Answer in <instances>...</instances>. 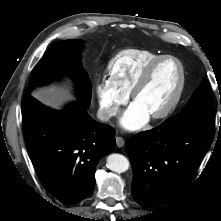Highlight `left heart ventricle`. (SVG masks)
I'll return each instance as SVG.
<instances>
[{
    "label": "left heart ventricle",
    "instance_id": "1",
    "mask_svg": "<svg viewBox=\"0 0 221 221\" xmlns=\"http://www.w3.org/2000/svg\"><path fill=\"white\" fill-rule=\"evenodd\" d=\"M180 80L178 64L165 60L153 71L147 85L136 97L135 102L150 115L162 110L173 98Z\"/></svg>",
    "mask_w": 221,
    "mask_h": 221
}]
</instances>
